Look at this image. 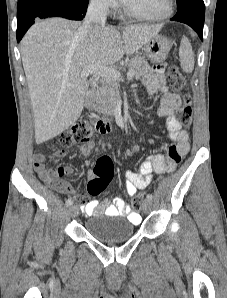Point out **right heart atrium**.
I'll list each match as a JSON object with an SVG mask.
<instances>
[{
	"mask_svg": "<svg viewBox=\"0 0 227 298\" xmlns=\"http://www.w3.org/2000/svg\"><path fill=\"white\" fill-rule=\"evenodd\" d=\"M91 3L99 10L109 11L116 7L115 0H91Z\"/></svg>",
	"mask_w": 227,
	"mask_h": 298,
	"instance_id": "d8ad5b80",
	"label": "right heart atrium"
}]
</instances>
